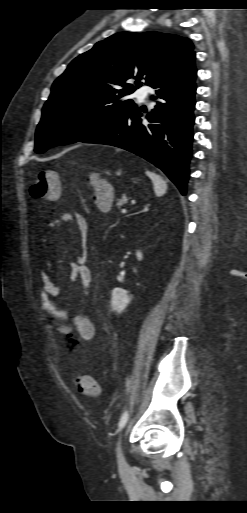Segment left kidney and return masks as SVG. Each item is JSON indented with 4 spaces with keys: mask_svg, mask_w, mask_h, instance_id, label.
I'll list each match as a JSON object with an SVG mask.
<instances>
[{
    "mask_svg": "<svg viewBox=\"0 0 247 513\" xmlns=\"http://www.w3.org/2000/svg\"><path fill=\"white\" fill-rule=\"evenodd\" d=\"M136 257L139 261L143 259V254L141 251L136 252ZM131 297L128 295L127 291L122 288H115L112 292L111 298V306L117 312H122L127 305L130 303Z\"/></svg>",
    "mask_w": 247,
    "mask_h": 513,
    "instance_id": "1",
    "label": "left kidney"
}]
</instances>
